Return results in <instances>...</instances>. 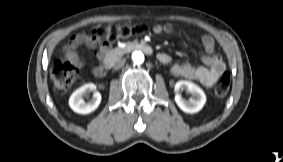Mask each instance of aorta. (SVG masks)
<instances>
[{
	"label": "aorta",
	"mask_w": 283,
	"mask_h": 162,
	"mask_svg": "<svg viewBox=\"0 0 283 162\" xmlns=\"http://www.w3.org/2000/svg\"><path fill=\"white\" fill-rule=\"evenodd\" d=\"M132 60L135 64H142L144 62V54L141 51H134L132 53Z\"/></svg>",
	"instance_id": "1"
}]
</instances>
